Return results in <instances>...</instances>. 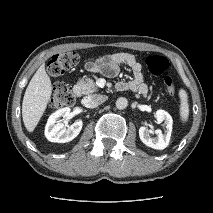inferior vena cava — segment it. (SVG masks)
<instances>
[{"label": "inferior vena cava", "instance_id": "602c4592", "mask_svg": "<svg viewBox=\"0 0 213 213\" xmlns=\"http://www.w3.org/2000/svg\"><path fill=\"white\" fill-rule=\"evenodd\" d=\"M107 100L106 95L93 94L83 98L82 103L87 108H95Z\"/></svg>", "mask_w": 213, "mask_h": 213}]
</instances>
